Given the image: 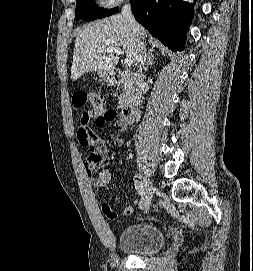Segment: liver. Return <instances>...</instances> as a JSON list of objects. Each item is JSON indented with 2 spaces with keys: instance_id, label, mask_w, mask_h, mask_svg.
<instances>
[{
  "instance_id": "6515ba94",
  "label": "liver",
  "mask_w": 253,
  "mask_h": 271,
  "mask_svg": "<svg viewBox=\"0 0 253 271\" xmlns=\"http://www.w3.org/2000/svg\"><path fill=\"white\" fill-rule=\"evenodd\" d=\"M145 37L146 31L143 29L142 42ZM139 42V38L133 32L128 21L120 14L112 15L78 29L71 79L75 81L89 71L112 72L118 62V56L112 52H105L107 48H122L126 57L132 59L133 63L137 65ZM101 50L104 51L101 52ZM152 51L153 49L150 48L149 52Z\"/></svg>"
}]
</instances>
